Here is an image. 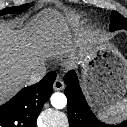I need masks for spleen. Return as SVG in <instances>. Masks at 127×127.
<instances>
[{
	"instance_id": "spleen-1",
	"label": "spleen",
	"mask_w": 127,
	"mask_h": 127,
	"mask_svg": "<svg viewBox=\"0 0 127 127\" xmlns=\"http://www.w3.org/2000/svg\"><path fill=\"white\" fill-rule=\"evenodd\" d=\"M101 119L109 122H119L127 118V97L110 105L99 113Z\"/></svg>"
}]
</instances>
